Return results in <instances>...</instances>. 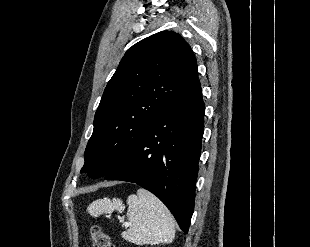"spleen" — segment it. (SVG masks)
Instances as JSON below:
<instances>
[{
    "mask_svg": "<svg viewBox=\"0 0 310 247\" xmlns=\"http://www.w3.org/2000/svg\"><path fill=\"white\" fill-rule=\"evenodd\" d=\"M127 217L129 228L122 233V237L134 244H169L175 237L174 218L168 208L151 192L138 189L127 199ZM93 217L114 210L122 213L125 206L121 199L103 198L94 201L88 207Z\"/></svg>",
    "mask_w": 310,
    "mask_h": 247,
    "instance_id": "3e777b00",
    "label": "spleen"
}]
</instances>
